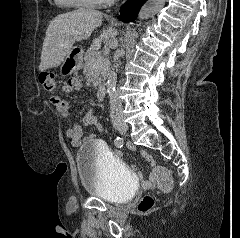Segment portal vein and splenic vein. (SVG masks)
<instances>
[{"instance_id": "1", "label": "portal vein and splenic vein", "mask_w": 240, "mask_h": 238, "mask_svg": "<svg viewBox=\"0 0 240 238\" xmlns=\"http://www.w3.org/2000/svg\"><path fill=\"white\" fill-rule=\"evenodd\" d=\"M97 62H98V63H103V61H101L100 58L97 59Z\"/></svg>"}]
</instances>
